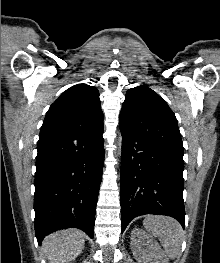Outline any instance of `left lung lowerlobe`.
I'll list each match as a JSON object with an SVG mask.
<instances>
[{
	"instance_id": "0a47b994",
	"label": "left lung lower lobe",
	"mask_w": 220,
	"mask_h": 263,
	"mask_svg": "<svg viewBox=\"0 0 220 263\" xmlns=\"http://www.w3.org/2000/svg\"><path fill=\"white\" fill-rule=\"evenodd\" d=\"M122 232L140 215L159 214L185 223L183 155L120 127Z\"/></svg>"
}]
</instances>
